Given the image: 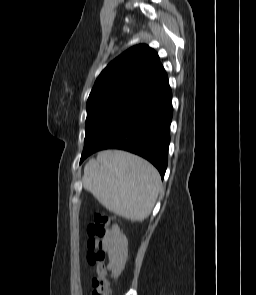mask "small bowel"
I'll return each instance as SVG.
<instances>
[{
  "mask_svg": "<svg viewBox=\"0 0 256 295\" xmlns=\"http://www.w3.org/2000/svg\"><path fill=\"white\" fill-rule=\"evenodd\" d=\"M103 244L105 251L108 253L113 273L118 274L127 258V239L119 227L114 225L103 238Z\"/></svg>",
  "mask_w": 256,
  "mask_h": 295,
  "instance_id": "obj_1",
  "label": "small bowel"
}]
</instances>
